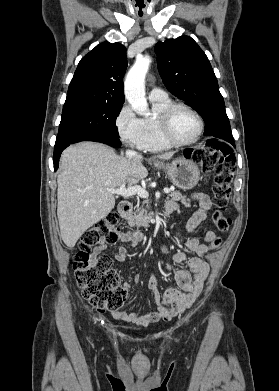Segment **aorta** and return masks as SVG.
Instances as JSON below:
<instances>
[{
    "label": "aorta",
    "instance_id": "aorta-1",
    "mask_svg": "<svg viewBox=\"0 0 279 391\" xmlns=\"http://www.w3.org/2000/svg\"><path fill=\"white\" fill-rule=\"evenodd\" d=\"M150 63V57H138L127 73L124 82L125 98L132 109L140 115L149 114L148 103L145 98V77Z\"/></svg>",
    "mask_w": 279,
    "mask_h": 391
}]
</instances>
